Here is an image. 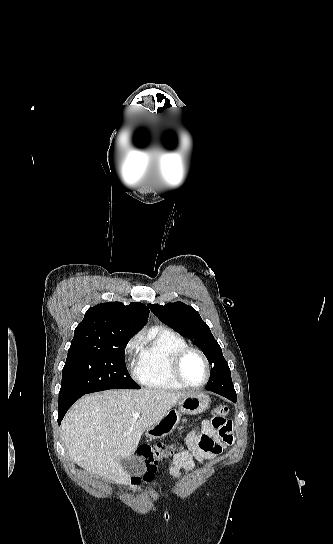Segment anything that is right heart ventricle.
<instances>
[{
	"instance_id": "right-heart-ventricle-1",
	"label": "right heart ventricle",
	"mask_w": 333,
	"mask_h": 544,
	"mask_svg": "<svg viewBox=\"0 0 333 544\" xmlns=\"http://www.w3.org/2000/svg\"><path fill=\"white\" fill-rule=\"evenodd\" d=\"M188 346L185 339L168 329L154 328L139 338V353L135 375L140 384L159 390L183 388L172 377L171 358L179 349Z\"/></svg>"
}]
</instances>
